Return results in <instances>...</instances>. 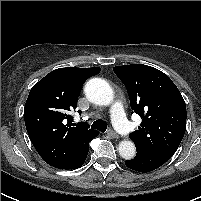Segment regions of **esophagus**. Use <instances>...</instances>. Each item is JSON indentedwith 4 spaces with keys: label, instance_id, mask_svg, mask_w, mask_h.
Here are the masks:
<instances>
[{
    "label": "esophagus",
    "instance_id": "obj_1",
    "mask_svg": "<svg viewBox=\"0 0 201 201\" xmlns=\"http://www.w3.org/2000/svg\"><path fill=\"white\" fill-rule=\"evenodd\" d=\"M107 135H108L109 137H111V138H118L117 133L114 132L112 129H109V130L107 131Z\"/></svg>",
    "mask_w": 201,
    "mask_h": 201
}]
</instances>
